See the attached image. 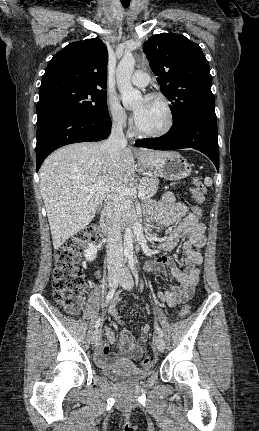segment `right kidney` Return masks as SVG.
I'll return each instance as SVG.
<instances>
[{
  "label": "right kidney",
  "mask_w": 259,
  "mask_h": 431,
  "mask_svg": "<svg viewBox=\"0 0 259 431\" xmlns=\"http://www.w3.org/2000/svg\"><path fill=\"white\" fill-rule=\"evenodd\" d=\"M85 258L88 261H93L97 256V247L95 244H89V246L85 249Z\"/></svg>",
  "instance_id": "ca27d5eb"
}]
</instances>
